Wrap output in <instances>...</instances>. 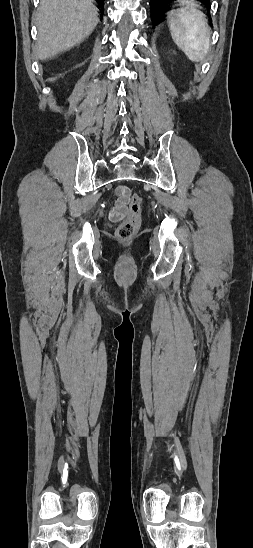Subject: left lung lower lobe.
<instances>
[{
  "label": "left lung lower lobe",
  "mask_w": 253,
  "mask_h": 548,
  "mask_svg": "<svg viewBox=\"0 0 253 548\" xmlns=\"http://www.w3.org/2000/svg\"><path fill=\"white\" fill-rule=\"evenodd\" d=\"M174 0H150L151 18L154 25H157L159 18L165 12L166 5ZM201 2L208 10L210 9V0H197Z\"/></svg>",
  "instance_id": "1"
}]
</instances>
